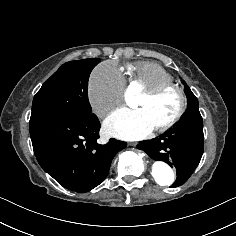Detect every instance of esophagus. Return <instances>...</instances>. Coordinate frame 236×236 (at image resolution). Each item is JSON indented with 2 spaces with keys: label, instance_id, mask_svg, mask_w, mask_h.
Segmentation results:
<instances>
[{
  "label": "esophagus",
  "instance_id": "obj_1",
  "mask_svg": "<svg viewBox=\"0 0 236 236\" xmlns=\"http://www.w3.org/2000/svg\"><path fill=\"white\" fill-rule=\"evenodd\" d=\"M129 145H131V146H136V145H137V142H132V143H130Z\"/></svg>",
  "mask_w": 236,
  "mask_h": 236
}]
</instances>
